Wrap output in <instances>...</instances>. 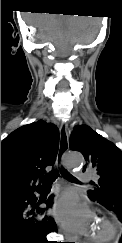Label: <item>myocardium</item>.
<instances>
[{
  "mask_svg": "<svg viewBox=\"0 0 122 243\" xmlns=\"http://www.w3.org/2000/svg\"><path fill=\"white\" fill-rule=\"evenodd\" d=\"M100 228L91 234L90 239L95 243H104L111 240L116 234V226L106 217L97 220Z\"/></svg>",
  "mask_w": 122,
  "mask_h": 243,
  "instance_id": "obj_1",
  "label": "myocardium"
}]
</instances>
